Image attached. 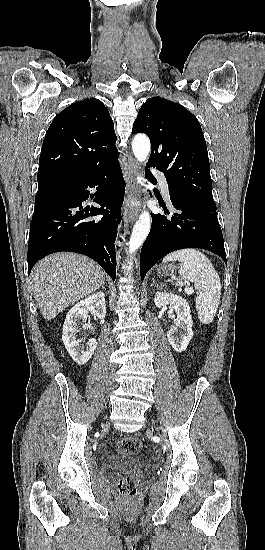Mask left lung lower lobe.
I'll use <instances>...</instances> for the list:
<instances>
[{
  "instance_id": "0a47b994",
  "label": "left lung lower lobe",
  "mask_w": 265,
  "mask_h": 550,
  "mask_svg": "<svg viewBox=\"0 0 265 550\" xmlns=\"http://www.w3.org/2000/svg\"><path fill=\"white\" fill-rule=\"evenodd\" d=\"M147 177L157 183L150 171ZM170 200L174 208L172 213L163 204L165 215L152 216V227L140 253L141 279L166 254L184 248L209 250L227 264L216 207L190 196L170 194Z\"/></svg>"
}]
</instances>
